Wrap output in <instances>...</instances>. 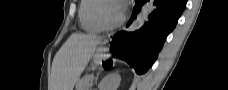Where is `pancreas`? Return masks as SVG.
I'll return each mask as SVG.
<instances>
[{
    "label": "pancreas",
    "instance_id": "pancreas-1",
    "mask_svg": "<svg viewBox=\"0 0 228 90\" xmlns=\"http://www.w3.org/2000/svg\"><path fill=\"white\" fill-rule=\"evenodd\" d=\"M93 75L85 76L77 83V90H90L92 86Z\"/></svg>",
    "mask_w": 228,
    "mask_h": 90
}]
</instances>
